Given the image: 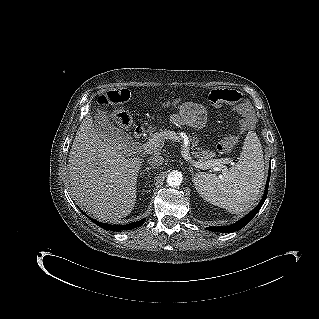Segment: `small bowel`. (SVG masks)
<instances>
[{
  "instance_id": "obj_1",
  "label": "small bowel",
  "mask_w": 319,
  "mask_h": 319,
  "mask_svg": "<svg viewBox=\"0 0 319 319\" xmlns=\"http://www.w3.org/2000/svg\"><path fill=\"white\" fill-rule=\"evenodd\" d=\"M172 120H173L174 123H177L179 121L177 116H173Z\"/></svg>"
}]
</instances>
